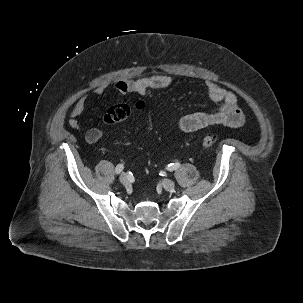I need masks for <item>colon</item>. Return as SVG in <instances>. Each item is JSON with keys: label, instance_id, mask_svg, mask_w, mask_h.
<instances>
[{"label": "colon", "instance_id": "1", "mask_svg": "<svg viewBox=\"0 0 303 303\" xmlns=\"http://www.w3.org/2000/svg\"><path fill=\"white\" fill-rule=\"evenodd\" d=\"M137 109H144L145 103L143 101H138L135 105ZM131 114V107L127 104H118L110 107L103 117V122L105 125H114L119 123L129 117ZM219 139L218 134L212 133L204 136L202 138V146L204 148L212 147Z\"/></svg>", "mask_w": 303, "mask_h": 303}]
</instances>
